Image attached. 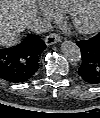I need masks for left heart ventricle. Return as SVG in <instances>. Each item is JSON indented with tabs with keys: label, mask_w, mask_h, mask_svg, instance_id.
Wrapping results in <instances>:
<instances>
[{
	"label": "left heart ventricle",
	"mask_w": 100,
	"mask_h": 118,
	"mask_svg": "<svg viewBox=\"0 0 100 118\" xmlns=\"http://www.w3.org/2000/svg\"><path fill=\"white\" fill-rule=\"evenodd\" d=\"M96 6H97V4L94 3V4L91 6L90 10L87 12V15L93 14V12H94L95 9H96Z\"/></svg>",
	"instance_id": "1"
}]
</instances>
